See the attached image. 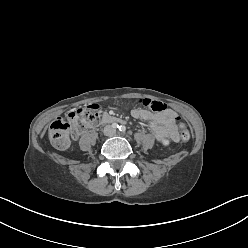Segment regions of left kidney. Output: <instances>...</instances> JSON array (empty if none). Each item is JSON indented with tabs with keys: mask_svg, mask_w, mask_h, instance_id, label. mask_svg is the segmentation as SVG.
I'll return each mask as SVG.
<instances>
[{
	"mask_svg": "<svg viewBox=\"0 0 248 248\" xmlns=\"http://www.w3.org/2000/svg\"><path fill=\"white\" fill-rule=\"evenodd\" d=\"M163 145H164V146H168V145H169V140H164V141H163Z\"/></svg>",
	"mask_w": 248,
	"mask_h": 248,
	"instance_id": "1",
	"label": "left kidney"
}]
</instances>
